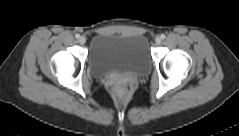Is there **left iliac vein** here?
I'll list each match as a JSON object with an SVG mask.
<instances>
[{
  "instance_id": "4c4485c4",
  "label": "left iliac vein",
  "mask_w": 239,
  "mask_h": 136,
  "mask_svg": "<svg viewBox=\"0 0 239 136\" xmlns=\"http://www.w3.org/2000/svg\"><path fill=\"white\" fill-rule=\"evenodd\" d=\"M155 44H156V45H160V44H161V38H160V37L157 36V37L155 38Z\"/></svg>"
}]
</instances>
